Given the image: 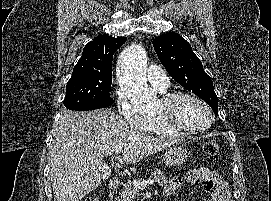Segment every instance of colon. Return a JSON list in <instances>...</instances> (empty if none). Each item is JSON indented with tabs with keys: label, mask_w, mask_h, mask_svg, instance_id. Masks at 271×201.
Returning a JSON list of instances; mask_svg holds the SVG:
<instances>
[{
	"label": "colon",
	"mask_w": 271,
	"mask_h": 201,
	"mask_svg": "<svg viewBox=\"0 0 271 201\" xmlns=\"http://www.w3.org/2000/svg\"><path fill=\"white\" fill-rule=\"evenodd\" d=\"M203 152L206 156L214 157L219 152V144L216 141H207L203 144ZM83 201H99L97 195H91L84 198Z\"/></svg>",
	"instance_id": "obj_1"
}]
</instances>
